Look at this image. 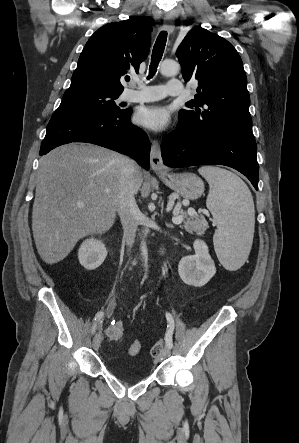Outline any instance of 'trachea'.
I'll list each match as a JSON object with an SVG mask.
<instances>
[{
	"mask_svg": "<svg viewBox=\"0 0 299 443\" xmlns=\"http://www.w3.org/2000/svg\"><path fill=\"white\" fill-rule=\"evenodd\" d=\"M166 41H167V32L161 31L153 47L151 63L149 68V75L147 79H150L155 75L158 64L162 58L165 49Z\"/></svg>",
	"mask_w": 299,
	"mask_h": 443,
	"instance_id": "trachea-1",
	"label": "trachea"
}]
</instances>
